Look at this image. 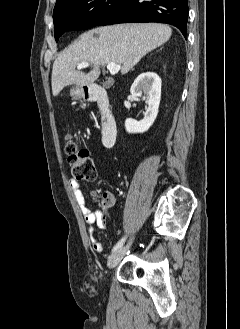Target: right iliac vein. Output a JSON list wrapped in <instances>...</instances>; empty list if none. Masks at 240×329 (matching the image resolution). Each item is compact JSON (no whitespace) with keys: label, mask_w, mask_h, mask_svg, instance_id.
<instances>
[{"label":"right iliac vein","mask_w":240,"mask_h":329,"mask_svg":"<svg viewBox=\"0 0 240 329\" xmlns=\"http://www.w3.org/2000/svg\"><path fill=\"white\" fill-rule=\"evenodd\" d=\"M131 244H132V241H130L126 246H124V247L118 249L117 251H115L108 258L107 265H108L109 268H113V267H115L119 263V261L126 254L127 250L130 248Z\"/></svg>","instance_id":"63e3f726"}]
</instances>
